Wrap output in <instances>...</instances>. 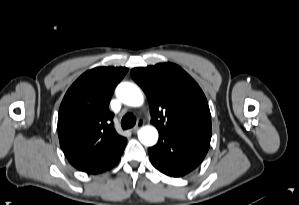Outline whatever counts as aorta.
I'll use <instances>...</instances> for the list:
<instances>
[{
  "label": "aorta",
  "mask_w": 299,
  "mask_h": 205,
  "mask_svg": "<svg viewBox=\"0 0 299 205\" xmlns=\"http://www.w3.org/2000/svg\"><path fill=\"white\" fill-rule=\"evenodd\" d=\"M117 97L126 105L138 107L144 102L140 89L128 82L118 85L116 89ZM138 138L145 146H153L158 140V131L153 126H144L138 131Z\"/></svg>",
  "instance_id": "762f6f07"
}]
</instances>
